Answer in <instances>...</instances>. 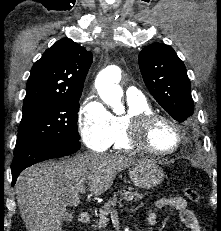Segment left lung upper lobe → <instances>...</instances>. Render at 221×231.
I'll return each mask as SVG.
<instances>
[{
    "label": "left lung upper lobe",
    "instance_id": "5c2ea615",
    "mask_svg": "<svg viewBox=\"0 0 221 231\" xmlns=\"http://www.w3.org/2000/svg\"><path fill=\"white\" fill-rule=\"evenodd\" d=\"M138 61L147 88L170 116L183 122L193 115L194 102L186 68L170 46L162 43L146 46Z\"/></svg>",
    "mask_w": 221,
    "mask_h": 231
}]
</instances>
